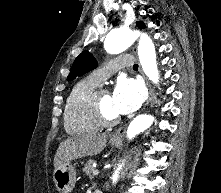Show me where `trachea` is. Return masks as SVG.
I'll return each mask as SVG.
<instances>
[{
  "mask_svg": "<svg viewBox=\"0 0 221 193\" xmlns=\"http://www.w3.org/2000/svg\"><path fill=\"white\" fill-rule=\"evenodd\" d=\"M133 68H138V64H134Z\"/></svg>",
  "mask_w": 221,
  "mask_h": 193,
  "instance_id": "obj_1",
  "label": "trachea"
}]
</instances>
